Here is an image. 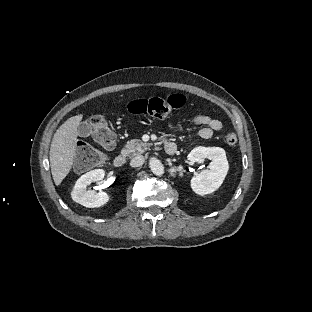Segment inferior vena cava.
<instances>
[{"instance_id":"inferior-vena-cava-1","label":"inferior vena cava","mask_w":312,"mask_h":312,"mask_svg":"<svg viewBox=\"0 0 312 312\" xmlns=\"http://www.w3.org/2000/svg\"><path fill=\"white\" fill-rule=\"evenodd\" d=\"M144 161H145V159L143 156L137 155L133 159L130 160V166H132V167L142 166Z\"/></svg>"}]
</instances>
